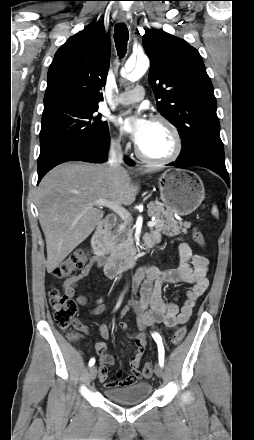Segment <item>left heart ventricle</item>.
I'll return each mask as SVG.
<instances>
[{"label":"left heart ventricle","mask_w":254,"mask_h":440,"mask_svg":"<svg viewBox=\"0 0 254 440\" xmlns=\"http://www.w3.org/2000/svg\"><path fill=\"white\" fill-rule=\"evenodd\" d=\"M138 147L147 156L164 158L172 154L175 140L168 127L162 123L152 122L147 136Z\"/></svg>","instance_id":"1"}]
</instances>
